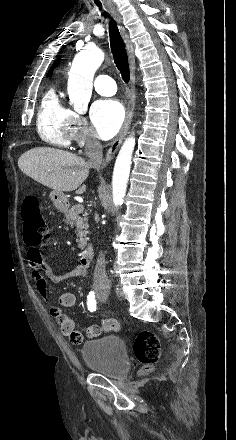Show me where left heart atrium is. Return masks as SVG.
I'll return each instance as SVG.
<instances>
[{
	"mask_svg": "<svg viewBox=\"0 0 236 440\" xmlns=\"http://www.w3.org/2000/svg\"><path fill=\"white\" fill-rule=\"evenodd\" d=\"M91 116L97 136L108 140L115 136L122 127L125 112L119 101L107 99L93 104Z\"/></svg>",
	"mask_w": 236,
	"mask_h": 440,
	"instance_id": "obj_1",
	"label": "left heart atrium"
}]
</instances>
